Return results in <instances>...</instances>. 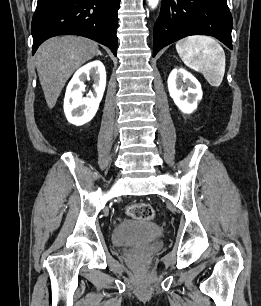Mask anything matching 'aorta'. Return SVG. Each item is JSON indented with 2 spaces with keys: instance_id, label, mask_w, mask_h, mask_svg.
Returning <instances> with one entry per match:
<instances>
[{
  "instance_id": "762f6f07",
  "label": "aorta",
  "mask_w": 261,
  "mask_h": 306,
  "mask_svg": "<svg viewBox=\"0 0 261 306\" xmlns=\"http://www.w3.org/2000/svg\"><path fill=\"white\" fill-rule=\"evenodd\" d=\"M148 1V5L154 9L157 7L158 3H159V0H147Z\"/></svg>"
}]
</instances>
